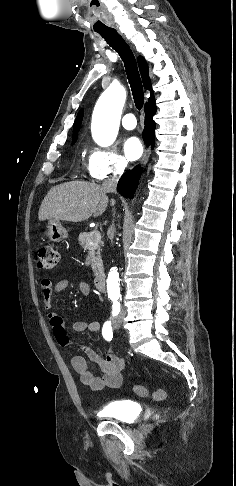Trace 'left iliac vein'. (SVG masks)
<instances>
[{
  "instance_id": "1",
  "label": "left iliac vein",
  "mask_w": 236,
  "mask_h": 486,
  "mask_svg": "<svg viewBox=\"0 0 236 486\" xmlns=\"http://www.w3.org/2000/svg\"><path fill=\"white\" fill-rule=\"evenodd\" d=\"M116 326H117V327H119V326H120V321H118V324H117Z\"/></svg>"
}]
</instances>
